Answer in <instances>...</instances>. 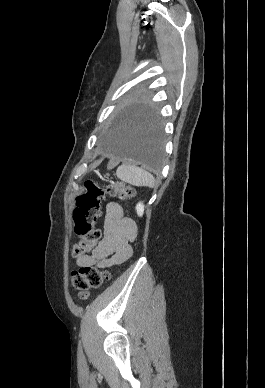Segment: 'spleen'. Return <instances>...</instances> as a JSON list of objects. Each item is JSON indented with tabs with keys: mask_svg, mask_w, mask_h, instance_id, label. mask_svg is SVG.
Masks as SVG:
<instances>
[{
	"mask_svg": "<svg viewBox=\"0 0 265 388\" xmlns=\"http://www.w3.org/2000/svg\"><path fill=\"white\" fill-rule=\"evenodd\" d=\"M117 176L131 186H150V188L154 186L153 176L137 166H120L117 170Z\"/></svg>",
	"mask_w": 265,
	"mask_h": 388,
	"instance_id": "spleen-1",
	"label": "spleen"
}]
</instances>
